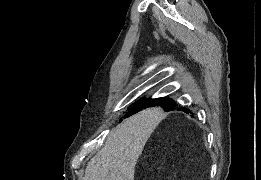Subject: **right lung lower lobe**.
Segmentation results:
<instances>
[{
  "instance_id": "98d812e1",
  "label": "right lung lower lobe",
  "mask_w": 261,
  "mask_h": 180,
  "mask_svg": "<svg viewBox=\"0 0 261 180\" xmlns=\"http://www.w3.org/2000/svg\"><path fill=\"white\" fill-rule=\"evenodd\" d=\"M179 110L185 111L186 113H188V112H189V110H188V109H186V108H180Z\"/></svg>"
}]
</instances>
